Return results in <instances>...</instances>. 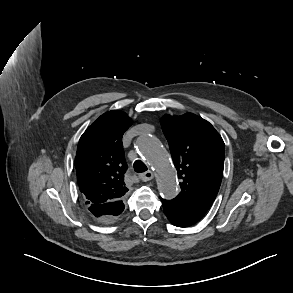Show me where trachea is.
<instances>
[{"instance_id":"obj_1","label":"trachea","mask_w":293,"mask_h":293,"mask_svg":"<svg viewBox=\"0 0 293 293\" xmlns=\"http://www.w3.org/2000/svg\"><path fill=\"white\" fill-rule=\"evenodd\" d=\"M134 171L137 173H142L147 171V166L141 161V160H136L134 162Z\"/></svg>"}]
</instances>
